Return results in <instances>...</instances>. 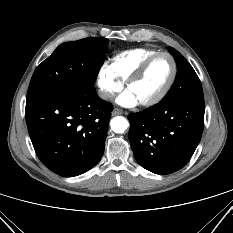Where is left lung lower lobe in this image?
I'll return each mask as SVG.
<instances>
[{"instance_id":"1","label":"left lung lower lobe","mask_w":233,"mask_h":233,"mask_svg":"<svg viewBox=\"0 0 233 233\" xmlns=\"http://www.w3.org/2000/svg\"><path fill=\"white\" fill-rule=\"evenodd\" d=\"M204 112V99H178L130 114L128 137L137 162L159 175L183 168L200 142Z\"/></svg>"}]
</instances>
